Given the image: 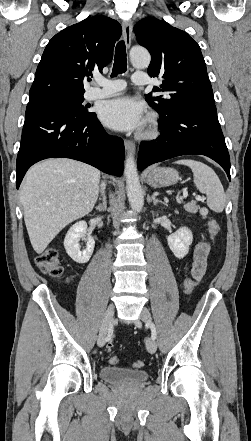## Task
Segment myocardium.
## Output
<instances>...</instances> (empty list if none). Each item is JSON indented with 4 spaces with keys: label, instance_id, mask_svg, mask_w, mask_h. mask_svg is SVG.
<instances>
[{
    "label": "myocardium",
    "instance_id": "myocardium-1",
    "mask_svg": "<svg viewBox=\"0 0 251 441\" xmlns=\"http://www.w3.org/2000/svg\"><path fill=\"white\" fill-rule=\"evenodd\" d=\"M158 134V121L154 114H150L147 119V126L145 130L141 133L143 138H152Z\"/></svg>",
    "mask_w": 251,
    "mask_h": 441
}]
</instances>
